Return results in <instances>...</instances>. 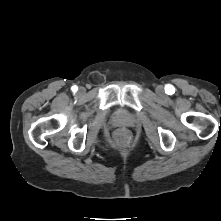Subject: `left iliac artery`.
Listing matches in <instances>:
<instances>
[{"mask_svg": "<svg viewBox=\"0 0 221 221\" xmlns=\"http://www.w3.org/2000/svg\"><path fill=\"white\" fill-rule=\"evenodd\" d=\"M165 91L167 94L171 95L174 93V87L172 85H166Z\"/></svg>", "mask_w": 221, "mask_h": 221, "instance_id": "obj_1", "label": "left iliac artery"}]
</instances>
